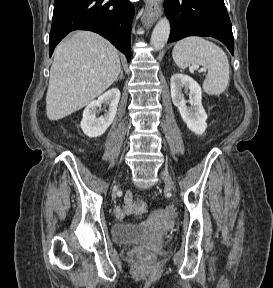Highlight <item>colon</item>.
I'll use <instances>...</instances> for the list:
<instances>
[{"label":"colon","mask_w":273,"mask_h":288,"mask_svg":"<svg viewBox=\"0 0 273 288\" xmlns=\"http://www.w3.org/2000/svg\"><path fill=\"white\" fill-rule=\"evenodd\" d=\"M132 211L138 216H143L146 212V203L141 199L133 200ZM140 258L148 263H152L154 261L153 255L147 252H141Z\"/></svg>","instance_id":"1"}]
</instances>
